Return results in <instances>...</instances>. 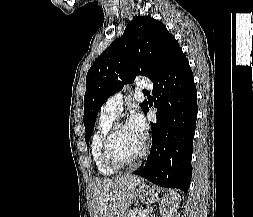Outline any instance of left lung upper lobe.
Wrapping results in <instances>:
<instances>
[{"instance_id":"1","label":"left lung upper lobe","mask_w":253,"mask_h":217,"mask_svg":"<svg viewBox=\"0 0 253 217\" xmlns=\"http://www.w3.org/2000/svg\"><path fill=\"white\" fill-rule=\"evenodd\" d=\"M181 53V47L163 23L150 16H138L129 22L123 35L95 60L87 73L83 117L86 143L109 96L138 75L154 82ZM140 106L145 111L147 102Z\"/></svg>"}]
</instances>
